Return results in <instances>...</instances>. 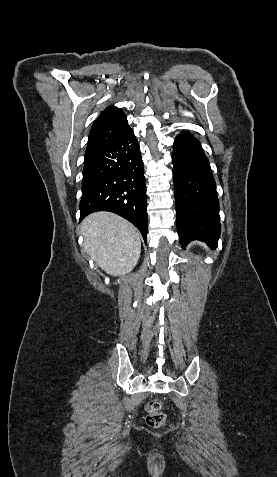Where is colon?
Here are the masks:
<instances>
[{"label": "colon", "instance_id": "1", "mask_svg": "<svg viewBox=\"0 0 277 477\" xmlns=\"http://www.w3.org/2000/svg\"><path fill=\"white\" fill-rule=\"evenodd\" d=\"M146 423L152 428H159L165 424L166 415L163 412V403L159 399H152L146 405Z\"/></svg>", "mask_w": 277, "mask_h": 477}]
</instances>
